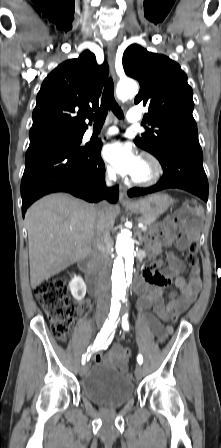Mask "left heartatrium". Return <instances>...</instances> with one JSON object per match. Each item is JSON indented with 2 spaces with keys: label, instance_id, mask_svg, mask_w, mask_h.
<instances>
[{
  "label": "left heart atrium",
  "instance_id": "left-heart-atrium-1",
  "mask_svg": "<svg viewBox=\"0 0 221 448\" xmlns=\"http://www.w3.org/2000/svg\"><path fill=\"white\" fill-rule=\"evenodd\" d=\"M104 159L123 176L135 177L141 166L140 157L132 147L122 142H113L103 149Z\"/></svg>",
  "mask_w": 221,
  "mask_h": 448
}]
</instances>
